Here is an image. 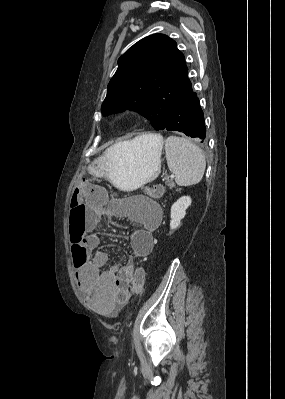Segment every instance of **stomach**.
Masks as SVG:
<instances>
[{
    "instance_id": "obj_1",
    "label": "stomach",
    "mask_w": 285,
    "mask_h": 399,
    "mask_svg": "<svg viewBox=\"0 0 285 399\" xmlns=\"http://www.w3.org/2000/svg\"><path fill=\"white\" fill-rule=\"evenodd\" d=\"M163 138L149 134L113 145L88 167L95 177L106 178L131 191L155 180L161 171Z\"/></svg>"
}]
</instances>
